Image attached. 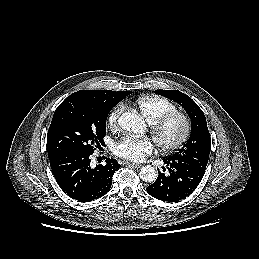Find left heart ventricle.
Here are the masks:
<instances>
[{
	"mask_svg": "<svg viewBox=\"0 0 259 259\" xmlns=\"http://www.w3.org/2000/svg\"><path fill=\"white\" fill-rule=\"evenodd\" d=\"M181 132V124L178 121L170 122L163 130V139L167 142L175 140Z\"/></svg>",
	"mask_w": 259,
	"mask_h": 259,
	"instance_id": "left-heart-ventricle-1",
	"label": "left heart ventricle"
}]
</instances>
